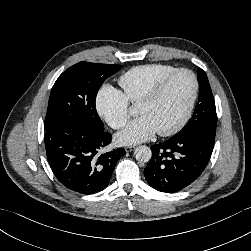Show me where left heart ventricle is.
<instances>
[{
	"label": "left heart ventricle",
	"mask_w": 251,
	"mask_h": 251,
	"mask_svg": "<svg viewBox=\"0 0 251 251\" xmlns=\"http://www.w3.org/2000/svg\"><path fill=\"white\" fill-rule=\"evenodd\" d=\"M193 92V80L185 73L174 77L161 95L150 104H139L137 114L146 116L156 131L176 125L184 115Z\"/></svg>",
	"instance_id": "obj_1"
}]
</instances>
